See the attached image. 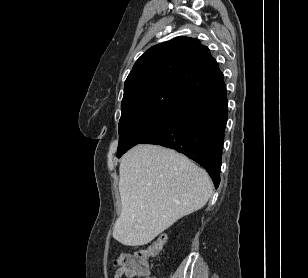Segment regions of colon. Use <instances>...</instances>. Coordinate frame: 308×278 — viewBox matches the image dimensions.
Masks as SVG:
<instances>
[{
  "mask_svg": "<svg viewBox=\"0 0 308 278\" xmlns=\"http://www.w3.org/2000/svg\"><path fill=\"white\" fill-rule=\"evenodd\" d=\"M166 237L158 236L146 248L135 253H120L114 260L116 273L126 278H150L149 259L156 256L163 248Z\"/></svg>",
  "mask_w": 308,
  "mask_h": 278,
  "instance_id": "colon-1",
  "label": "colon"
}]
</instances>
